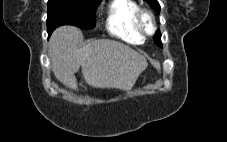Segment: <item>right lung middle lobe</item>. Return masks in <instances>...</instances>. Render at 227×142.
Wrapping results in <instances>:
<instances>
[{
	"label": "right lung middle lobe",
	"instance_id": "1",
	"mask_svg": "<svg viewBox=\"0 0 227 142\" xmlns=\"http://www.w3.org/2000/svg\"><path fill=\"white\" fill-rule=\"evenodd\" d=\"M101 0H48L47 30L50 35L61 25L83 29L95 27V11Z\"/></svg>",
	"mask_w": 227,
	"mask_h": 142
}]
</instances>
